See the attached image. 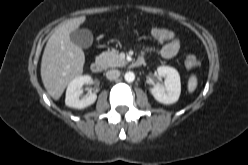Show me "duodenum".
Listing matches in <instances>:
<instances>
[{"instance_id": "410a0bca", "label": "duodenum", "mask_w": 248, "mask_h": 165, "mask_svg": "<svg viewBox=\"0 0 248 165\" xmlns=\"http://www.w3.org/2000/svg\"><path fill=\"white\" fill-rule=\"evenodd\" d=\"M143 64V59L142 58H138L137 60H135L132 63L133 67H140ZM104 67V63L101 59H96L94 60L91 65H90V69L93 73H100L103 70Z\"/></svg>"}]
</instances>
